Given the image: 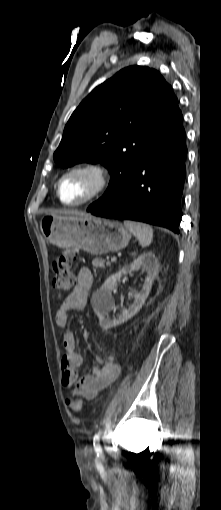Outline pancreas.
<instances>
[{
	"instance_id": "pancreas-1",
	"label": "pancreas",
	"mask_w": 221,
	"mask_h": 510,
	"mask_svg": "<svg viewBox=\"0 0 221 510\" xmlns=\"http://www.w3.org/2000/svg\"><path fill=\"white\" fill-rule=\"evenodd\" d=\"M92 265L95 268H105V261L100 258H96L92 261ZM110 263L107 262V266H109Z\"/></svg>"
}]
</instances>
